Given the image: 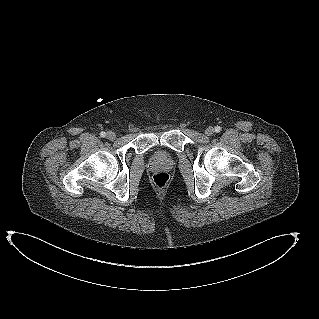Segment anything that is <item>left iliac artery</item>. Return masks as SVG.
Returning a JSON list of instances; mask_svg holds the SVG:
<instances>
[{"label": "left iliac artery", "mask_w": 319, "mask_h": 319, "mask_svg": "<svg viewBox=\"0 0 319 319\" xmlns=\"http://www.w3.org/2000/svg\"><path fill=\"white\" fill-rule=\"evenodd\" d=\"M221 131V127L220 126H216L215 127V132L219 133Z\"/></svg>", "instance_id": "1"}]
</instances>
